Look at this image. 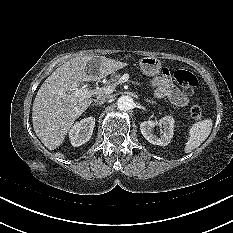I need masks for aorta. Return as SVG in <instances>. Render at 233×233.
<instances>
[{"label": "aorta", "instance_id": "1", "mask_svg": "<svg viewBox=\"0 0 233 233\" xmlns=\"http://www.w3.org/2000/svg\"><path fill=\"white\" fill-rule=\"evenodd\" d=\"M134 101L130 96L123 95L117 101V108L120 111H127L132 109Z\"/></svg>", "mask_w": 233, "mask_h": 233}]
</instances>
